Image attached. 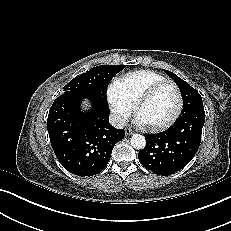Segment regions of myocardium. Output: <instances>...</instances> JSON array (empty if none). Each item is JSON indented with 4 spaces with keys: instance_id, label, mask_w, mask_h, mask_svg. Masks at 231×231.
<instances>
[{
    "instance_id": "myocardium-1",
    "label": "myocardium",
    "mask_w": 231,
    "mask_h": 231,
    "mask_svg": "<svg viewBox=\"0 0 231 231\" xmlns=\"http://www.w3.org/2000/svg\"><path fill=\"white\" fill-rule=\"evenodd\" d=\"M163 85H170L173 87L175 94H176V105L174 108V111L171 115V117L164 123L162 124H149V128L153 131H161V130H165L167 128H169L171 125L174 124V122L178 119V117L181 114L182 108H183V98H182V94L181 91L178 87V85L170 80V79H163L155 84H153L138 100L135 109H134V113L136 115H139L143 106L146 104V102L149 100V98L151 97V95L161 86Z\"/></svg>"
}]
</instances>
